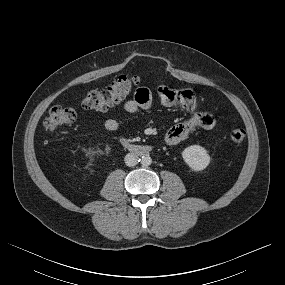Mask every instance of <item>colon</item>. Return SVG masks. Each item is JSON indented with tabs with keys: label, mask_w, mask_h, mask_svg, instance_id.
<instances>
[{
	"label": "colon",
	"mask_w": 285,
	"mask_h": 285,
	"mask_svg": "<svg viewBox=\"0 0 285 285\" xmlns=\"http://www.w3.org/2000/svg\"><path fill=\"white\" fill-rule=\"evenodd\" d=\"M139 83V78L134 75H122L113 80L103 90H92L87 93L82 101L85 109L104 111L124 100ZM76 119L74 109L63 106L52 107L42 121V126L47 132L72 124ZM229 137L234 143H242L246 137L244 127L237 126L230 130Z\"/></svg>",
	"instance_id": "5ec220e1"
}]
</instances>
